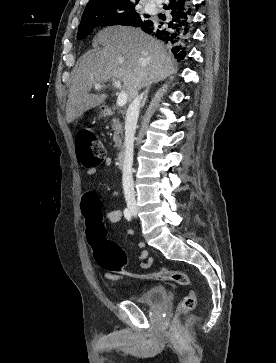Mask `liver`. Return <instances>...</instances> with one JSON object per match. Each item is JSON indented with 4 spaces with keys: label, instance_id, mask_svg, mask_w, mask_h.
Here are the masks:
<instances>
[{
    "label": "liver",
    "instance_id": "1",
    "mask_svg": "<svg viewBox=\"0 0 276 363\" xmlns=\"http://www.w3.org/2000/svg\"><path fill=\"white\" fill-rule=\"evenodd\" d=\"M94 43L102 48L84 54L73 70L67 123L105 101L106 94L89 93L95 84L111 79L122 81L131 101L142 88L177 72L174 57L163 43L139 28L109 27L96 35Z\"/></svg>",
    "mask_w": 276,
    "mask_h": 363
}]
</instances>
